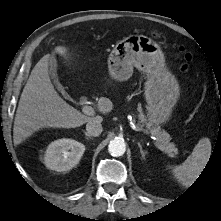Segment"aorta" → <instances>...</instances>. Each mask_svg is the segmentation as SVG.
<instances>
[{
	"instance_id": "aorta-1",
	"label": "aorta",
	"mask_w": 221,
	"mask_h": 221,
	"mask_svg": "<svg viewBox=\"0 0 221 221\" xmlns=\"http://www.w3.org/2000/svg\"><path fill=\"white\" fill-rule=\"evenodd\" d=\"M126 145L121 139H114L108 145V151L112 156H122L125 153Z\"/></svg>"
}]
</instances>
